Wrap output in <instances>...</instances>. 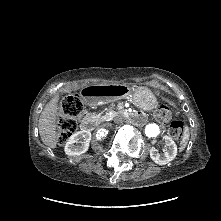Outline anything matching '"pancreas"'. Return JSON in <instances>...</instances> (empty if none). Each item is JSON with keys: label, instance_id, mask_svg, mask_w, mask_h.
<instances>
[{"label": "pancreas", "instance_id": "pancreas-1", "mask_svg": "<svg viewBox=\"0 0 221 221\" xmlns=\"http://www.w3.org/2000/svg\"><path fill=\"white\" fill-rule=\"evenodd\" d=\"M108 112H106L105 114L103 113H100L98 115H95V118L98 122H101V121H104V120H109L110 118H112L113 116L119 114V113H122L123 110H120L119 112H116L112 109H108L107 110Z\"/></svg>", "mask_w": 221, "mask_h": 221}]
</instances>
